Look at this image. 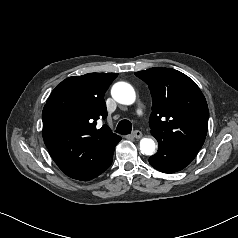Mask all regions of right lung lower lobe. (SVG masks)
<instances>
[{
    "label": "right lung lower lobe",
    "instance_id": "1",
    "mask_svg": "<svg viewBox=\"0 0 238 238\" xmlns=\"http://www.w3.org/2000/svg\"><path fill=\"white\" fill-rule=\"evenodd\" d=\"M113 152H114V149H113V151H111L109 153V155L107 157H105V159H104L105 161L102 163L103 165H102L101 169L98 172H96L94 175H92L89 180H91V179L97 177L98 175H100L102 172H104L111 165L112 159H113Z\"/></svg>",
    "mask_w": 238,
    "mask_h": 238
}]
</instances>
